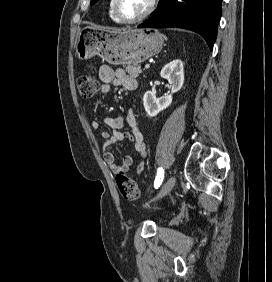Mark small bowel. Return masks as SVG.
Instances as JSON below:
<instances>
[{"label":"small bowel","mask_w":272,"mask_h":282,"mask_svg":"<svg viewBox=\"0 0 272 282\" xmlns=\"http://www.w3.org/2000/svg\"><path fill=\"white\" fill-rule=\"evenodd\" d=\"M99 77L103 83L101 88L102 93H107L111 84L122 86L125 90L129 91H135L138 87L137 80L127 76L122 68L114 69L110 66L103 65L99 69ZM103 121L110 128V131L104 130L101 132L103 156L106 164L113 171H127L132 167L133 160L130 156H125L122 159V163L119 165L116 162L114 154L107 150L109 146L127 138L133 143L135 151L142 158L136 170L139 175H142L146 170V165L143 160L147 156V150L143 133L136 124L134 112L129 110L125 116L106 117ZM100 126L99 121L92 122L93 129L98 130ZM125 126H129L130 130L125 131Z\"/></svg>","instance_id":"obj_1"}]
</instances>
